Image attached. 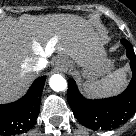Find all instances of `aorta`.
Listing matches in <instances>:
<instances>
[{
    "mask_svg": "<svg viewBox=\"0 0 136 136\" xmlns=\"http://www.w3.org/2000/svg\"><path fill=\"white\" fill-rule=\"evenodd\" d=\"M49 85L56 92L64 91L67 88V81L60 74H54L49 79Z\"/></svg>",
    "mask_w": 136,
    "mask_h": 136,
    "instance_id": "obj_1",
    "label": "aorta"
}]
</instances>
